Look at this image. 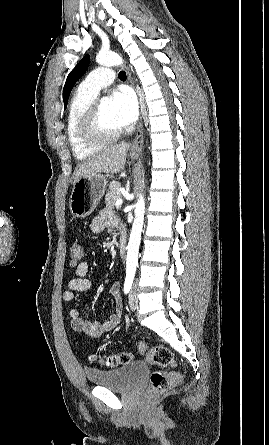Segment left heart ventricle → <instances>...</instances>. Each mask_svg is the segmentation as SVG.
Masks as SVG:
<instances>
[{
    "mask_svg": "<svg viewBox=\"0 0 269 445\" xmlns=\"http://www.w3.org/2000/svg\"><path fill=\"white\" fill-rule=\"evenodd\" d=\"M100 120L102 125L108 130L121 129L113 116L110 102H103L100 104Z\"/></svg>",
    "mask_w": 269,
    "mask_h": 445,
    "instance_id": "b2bd125f",
    "label": "left heart ventricle"
}]
</instances>
